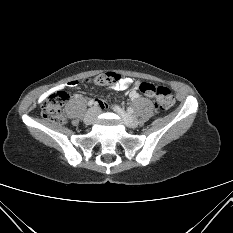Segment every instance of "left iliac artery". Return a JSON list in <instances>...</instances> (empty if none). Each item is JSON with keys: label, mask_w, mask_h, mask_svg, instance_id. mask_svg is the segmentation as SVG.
<instances>
[{"label": "left iliac artery", "mask_w": 233, "mask_h": 233, "mask_svg": "<svg viewBox=\"0 0 233 233\" xmlns=\"http://www.w3.org/2000/svg\"><path fill=\"white\" fill-rule=\"evenodd\" d=\"M127 111H128L129 113H133V108L128 107V108H127Z\"/></svg>", "instance_id": "left-iliac-artery-1"}]
</instances>
